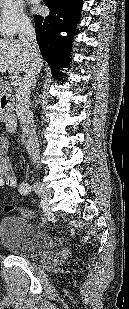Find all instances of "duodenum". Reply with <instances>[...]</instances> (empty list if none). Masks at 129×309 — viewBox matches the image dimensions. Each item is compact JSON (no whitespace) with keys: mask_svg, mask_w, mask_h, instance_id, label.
I'll use <instances>...</instances> for the list:
<instances>
[{"mask_svg":"<svg viewBox=\"0 0 129 309\" xmlns=\"http://www.w3.org/2000/svg\"><path fill=\"white\" fill-rule=\"evenodd\" d=\"M0 117L7 131L14 132L17 127V117L14 113L13 103L11 101H1Z\"/></svg>","mask_w":129,"mask_h":309,"instance_id":"410a0bca","label":"duodenum"}]
</instances>
